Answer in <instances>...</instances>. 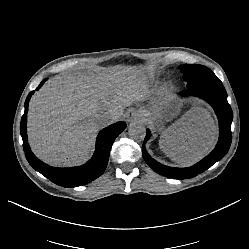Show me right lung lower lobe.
Instances as JSON below:
<instances>
[{"instance_id":"1","label":"right lung lower lobe","mask_w":249,"mask_h":249,"mask_svg":"<svg viewBox=\"0 0 249 249\" xmlns=\"http://www.w3.org/2000/svg\"><path fill=\"white\" fill-rule=\"evenodd\" d=\"M46 80L47 79H44L36 90H38ZM33 93L34 91L30 92L26 98L25 112L20 124L23 149L29 164L49 180L63 187L81 186L101 176L106 169L111 146L115 138L126 128V124L124 122H117L101 130L96 140L94 155L84 165L71 168L51 167L40 161L32 153L27 141V112L29 100Z\"/></svg>"}]
</instances>
